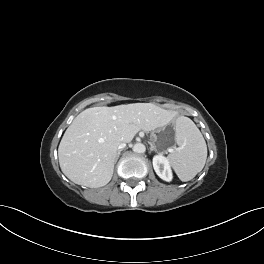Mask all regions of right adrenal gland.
<instances>
[{
    "mask_svg": "<svg viewBox=\"0 0 264 264\" xmlns=\"http://www.w3.org/2000/svg\"><path fill=\"white\" fill-rule=\"evenodd\" d=\"M121 151H122V150H119V151H118L115 162H117V160H118V158H119V156H120Z\"/></svg>",
    "mask_w": 264,
    "mask_h": 264,
    "instance_id": "obj_1",
    "label": "right adrenal gland"
}]
</instances>
